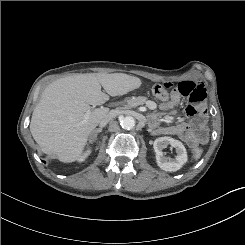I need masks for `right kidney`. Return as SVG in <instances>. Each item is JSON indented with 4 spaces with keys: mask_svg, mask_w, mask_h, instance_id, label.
Segmentation results:
<instances>
[{
    "mask_svg": "<svg viewBox=\"0 0 245 245\" xmlns=\"http://www.w3.org/2000/svg\"><path fill=\"white\" fill-rule=\"evenodd\" d=\"M90 153H91V150L88 149V150L84 153V155H81L77 160H78V161H83V160H84Z\"/></svg>",
    "mask_w": 245,
    "mask_h": 245,
    "instance_id": "right-kidney-1",
    "label": "right kidney"
}]
</instances>
